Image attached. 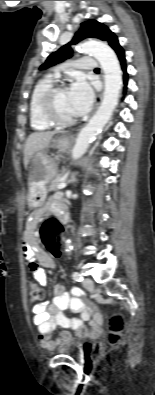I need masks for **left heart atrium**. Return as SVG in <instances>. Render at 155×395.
Listing matches in <instances>:
<instances>
[{"label":"left heart atrium","instance_id":"left-heart-atrium-1","mask_svg":"<svg viewBox=\"0 0 155 395\" xmlns=\"http://www.w3.org/2000/svg\"><path fill=\"white\" fill-rule=\"evenodd\" d=\"M68 98L74 116L86 114L93 103V90L83 77L76 78L68 90Z\"/></svg>","mask_w":155,"mask_h":395}]
</instances>
